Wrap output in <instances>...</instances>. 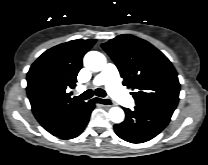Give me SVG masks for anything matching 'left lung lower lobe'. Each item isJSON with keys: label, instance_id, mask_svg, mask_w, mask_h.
Instances as JSON below:
<instances>
[{"label": "left lung lower lobe", "instance_id": "obj_1", "mask_svg": "<svg viewBox=\"0 0 208 165\" xmlns=\"http://www.w3.org/2000/svg\"><path fill=\"white\" fill-rule=\"evenodd\" d=\"M125 121L114 126L115 133L130 143H143L158 135L169 123L174 111L159 108H124Z\"/></svg>", "mask_w": 208, "mask_h": 165}]
</instances>
